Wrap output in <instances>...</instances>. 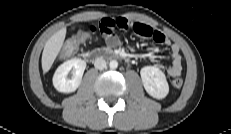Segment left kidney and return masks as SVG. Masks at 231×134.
<instances>
[{"instance_id": "left-kidney-1", "label": "left kidney", "mask_w": 231, "mask_h": 134, "mask_svg": "<svg viewBox=\"0 0 231 134\" xmlns=\"http://www.w3.org/2000/svg\"><path fill=\"white\" fill-rule=\"evenodd\" d=\"M146 92L156 99H163L169 93L165 74L155 66H145L140 71Z\"/></svg>"}]
</instances>
